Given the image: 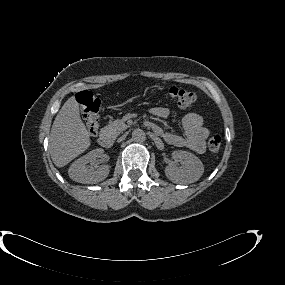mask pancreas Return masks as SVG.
Wrapping results in <instances>:
<instances>
[{
	"mask_svg": "<svg viewBox=\"0 0 285 285\" xmlns=\"http://www.w3.org/2000/svg\"><path fill=\"white\" fill-rule=\"evenodd\" d=\"M127 128V125L123 120H115L110 122L107 126L104 127V131L113 135H119L123 130Z\"/></svg>",
	"mask_w": 285,
	"mask_h": 285,
	"instance_id": "1",
	"label": "pancreas"
}]
</instances>
